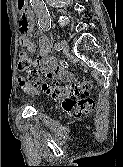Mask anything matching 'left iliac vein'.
Listing matches in <instances>:
<instances>
[{"label": "left iliac vein", "mask_w": 123, "mask_h": 167, "mask_svg": "<svg viewBox=\"0 0 123 167\" xmlns=\"http://www.w3.org/2000/svg\"><path fill=\"white\" fill-rule=\"evenodd\" d=\"M61 50L66 54L68 52V44L66 40H61L60 42Z\"/></svg>", "instance_id": "obj_1"}]
</instances>
